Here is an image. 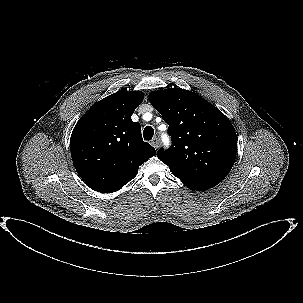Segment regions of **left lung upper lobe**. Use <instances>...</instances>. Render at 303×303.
Masks as SVG:
<instances>
[{
	"instance_id": "obj_1",
	"label": "left lung upper lobe",
	"mask_w": 303,
	"mask_h": 303,
	"mask_svg": "<svg viewBox=\"0 0 303 303\" xmlns=\"http://www.w3.org/2000/svg\"><path fill=\"white\" fill-rule=\"evenodd\" d=\"M149 101L169 125L172 146L157 157L179 179H224L234 165L237 138L230 120L201 96L181 88L153 91Z\"/></svg>"
}]
</instances>
